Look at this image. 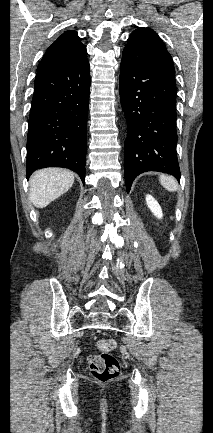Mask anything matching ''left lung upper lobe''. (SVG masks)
I'll use <instances>...</instances> for the list:
<instances>
[{
	"label": "left lung upper lobe",
	"mask_w": 213,
	"mask_h": 433,
	"mask_svg": "<svg viewBox=\"0 0 213 433\" xmlns=\"http://www.w3.org/2000/svg\"><path fill=\"white\" fill-rule=\"evenodd\" d=\"M124 49L133 52L147 64L175 76L172 57L161 38L150 28L134 30Z\"/></svg>",
	"instance_id": "1"
}]
</instances>
